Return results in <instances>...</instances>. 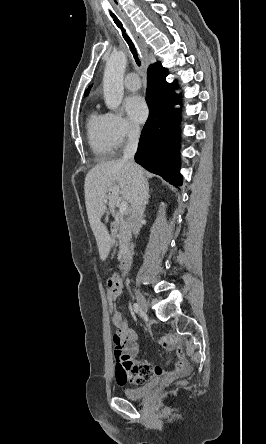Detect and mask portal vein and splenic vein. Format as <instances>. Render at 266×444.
I'll return each instance as SVG.
<instances>
[{"mask_svg":"<svg viewBox=\"0 0 266 444\" xmlns=\"http://www.w3.org/2000/svg\"><path fill=\"white\" fill-rule=\"evenodd\" d=\"M127 208H128V203H127V201H122L121 203H120V213L121 214H123L126 210H127Z\"/></svg>","mask_w":266,"mask_h":444,"instance_id":"obj_1","label":"portal vein and splenic vein"}]
</instances>
